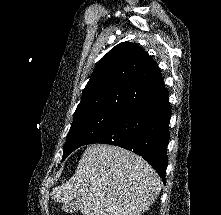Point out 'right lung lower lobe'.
Masks as SVG:
<instances>
[{"instance_id":"obj_1","label":"right lung lower lobe","mask_w":221,"mask_h":215,"mask_svg":"<svg viewBox=\"0 0 221 215\" xmlns=\"http://www.w3.org/2000/svg\"><path fill=\"white\" fill-rule=\"evenodd\" d=\"M170 118L168 92L163 88L154 97L119 117L87 144L104 143L133 151L151 164L165 182Z\"/></svg>"}]
</instances>
